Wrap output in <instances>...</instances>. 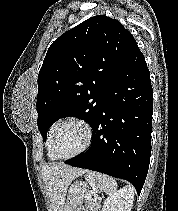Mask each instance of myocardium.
Returning a JSON list of instances; mask_svg holds the SVG:
<instances>
[{
    "mask_svg": "<svg viewBox=\"0 0 178 211\" xmlns=\"http://www.w3.org/2000/svg\"><path fill=\"white\" fill-rule=\"evenodd\" d=\"M68 123L78 124L84 129V131H85V141H84V144L82 145V147L77 152H75L71 155H68V156H62V155L57 153V150H56V147H55L56 136H57L59 130L64 125H66ZM92 137H93L92 128L86 120L79 118V117H68V118L62 120L53 132L52 141H51L52 152L54 153V155L57 159L67 160V159L77 157V156L81 155L82 153H84L90 147L91 142H92Z\"/></svg>",
    "mask_w": 178,
    "mask_h": 211,
    "instance_id": "1",
    "label": "myocardium"
}]
</instances>
